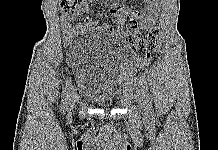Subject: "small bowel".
Returning a JSON list of instances; mask_svg holds the SVG:
<instances>
[{"mask_svg":"<svg viewBox=\"0 0 218 150\" xmlns=\"http://www.w3.org/2000/svg\"><path fill=\"white\" fill-rule=\"evenodd\" d=\"M92 0H82L70 15L63 17L62 32L65 46L69 47L68 61L73 63L77 50L72 47L75 38L79 35L93 30L112 35L119 39H124L127 32L131 29H148L158 16L160 0H143L145 7L142 12H138L127 6H118L116 0H108L111 10L110 12L117 20V25L113 26L110 23H102L98 25V19L102 18V12L96 13L95 17L89 16L83 22L73 24L74 20L87 13L89 3Z\"/></svg>","mask_w":218,"mask_h":150,"instance_id":"1","label":"small bowel"}]
</instances>
